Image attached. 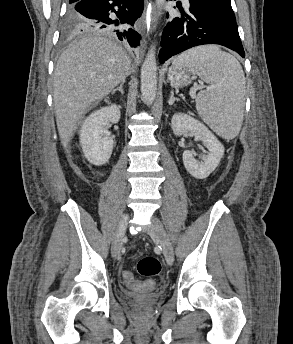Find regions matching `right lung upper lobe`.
Segmentation results:
<instances>
[{
	"mask_svg": "<svg viewBox=\"0 0 293 344\" xmlns=\"http://www.w3.org/2000/svg\"><path fill=\"white\" fill-rule=\"evenodd\" d=\"M78 0H69L70 4L76 3Z\"/></svg>",
	"mask_w": 293,
	"mask_h": 344,
	"instance_id": "cb5924a9",
	"label": "right lung upper lobe"
}]
</instances>
